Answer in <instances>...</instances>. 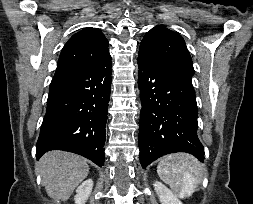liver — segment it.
Here are the masks:
<instances>
[{"mask_svg":"<svg viewBox=\"0 0 253 204\" xmlns=\"http://www.w3.org/2000/svg\"><path fill=\"white\" fill-rule=\"evenodd\" d=\"M37 166L48 196L63 202L89 173L86 159L58 150L45 153Z\"/></svg>","mask_w":253,"mask_h":204,"instance_id":"obj_1","label":"liver"}]
</instances>
